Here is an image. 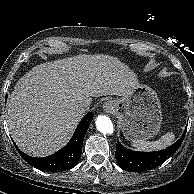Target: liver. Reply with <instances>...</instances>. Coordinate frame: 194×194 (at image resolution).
I'll use <instances>...</instances> for the list:
<instances>
[{
	"instance_id": "obj_1",
	"label": "liver",
	"mask_w": 194,
	"mask_h": 194,
	"mask_svg": "<svg viewBox=\"0 0 194 194\" xmlns=\"http://www.w3.org/2000/svg\"><path fill=\"white\" fill-rule=\"evenodd\" d=\"M138 84L135 73L116 57H68L35 66L17 82L7 101V125L17 146L43 157L67 143L91 97L123 96Z\"/></svg>"
}]
</instances>
